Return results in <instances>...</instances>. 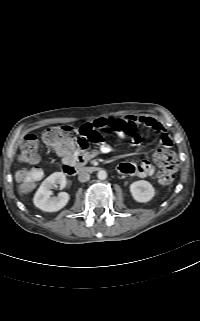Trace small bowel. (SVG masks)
Returning a JSON list of instances; mask_svg holds the SVG:
<instances>
[{
	"label": "small bowel",
	"mask_w": 200,
	"mask_h": 321,
	"mask_svg": "<svg viewBox=\"0 0 200 321\" xmlns=\"http://www.w3.org/2000/svg\"><path fill=\"white\" fill-rule=\"evenodd\" d=\"M83 126L93 130H104L111 132L117 137L125 140L130 145H137L140 141V127L149 129L157 136L165 149L156 151L154 158L166 151L170 150L173 142L165 128L150 116L128 115L118 118H98ZM112 150L108 143H102L98 149L85 151L80 153L78 150L73 152L59 151L63 156V160L67 165L84 164L99 154H108ZM118 171L124 175L146 177L151 176L155 172L154 165L149 160H141L140 162H122L118 165Z\"/></svg>",
	"instance_id": "c3829d8e"
}]
</instances>
